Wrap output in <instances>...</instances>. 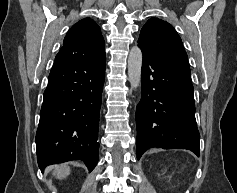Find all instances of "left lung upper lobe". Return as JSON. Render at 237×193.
I'll use <instances>...</instances> for the list:
<instances>
[{
	"mask_svg": "<svg viewBox=\"0 0 237 193\" xmlns=\"http://www.w3.org/2000/svg\"><path fill=\"white\" fill-rule=\"evenodd\" d=\"M138 45L143 51L190 71L181 38L168 22L158 18H150L141 29Z\"/></svg>",
	"mask_w": 237,
	"mask_h": 193,
	"instance_id": "left-lung-upper-lobe-1",
	"label": "left lung upper lobe"
}]
</instances>
